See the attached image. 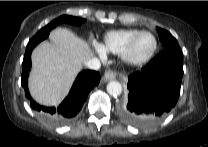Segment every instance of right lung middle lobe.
Returning a JSON list of instances; mask_svg holds the SVG:
<instances>
[{"mask_svg":"<svg viewBox=\"0 0 208 147\" xmlns=\"http://www.w3.org/2000/svg\"><path fill=\"white\" fill-rule=\"evenodd\" d=\"M84 22H85V19H83V18L63 15V16H60L59 18L53 20L48 25H46L41 30H39L33 38H39V37H43V36L49 34V32L53 28H55L57 25H60L62 23H68V24H72V25H81Z\"/></svg>","mask_w":208,"mask_h":147,"instance_id":"right-lung-middle-lobe-1","label":"right lung middle lobe"}]
</instances>
